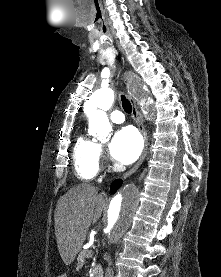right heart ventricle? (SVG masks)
<instances>
[{
	"label": "right heart ventricle",
	"instance_id": "1",
	"mask_svg": "<svg viewBox=\"0 0 221 277\" xmlns=\"http://www.w3.org/2000/svg\"><path fill=\"white\" fill-rule=\"evenodd\" d=\"M99 145L86 135H80L73 146L72 160L76 176L82 181L94 179L99 172Z\"/></svg>",
	"mask_w": 221,
	"mask_h": 277
}]
</instances>
